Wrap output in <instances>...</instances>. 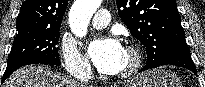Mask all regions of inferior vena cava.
<instances>
[{"mask_svg": "<svg viewBox=\"0 0 205 87\" xmlns=\"http://www.w3.org/2000/svg\"><path fill=\"white\" fill-rule=\"evenodd\" d=\"M89 79V75H87L85 78H84V81L87 82Z\"/></svg>", "mask_w": 205, "mask_h": 87, "instance_id": "inferior-vena-cava-1", "label": "inferior vena cava"}]
</instances>
